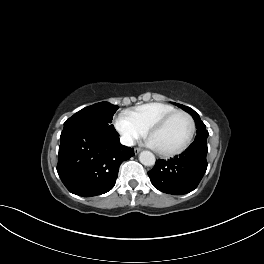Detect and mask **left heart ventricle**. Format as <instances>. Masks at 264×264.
Returning <instances> with one entry per match:
<instances>
[{"mask_svg": "<svg viewBox=\"0 0 264 264\" xmlns=\"http://www.w3.org/2000/svg\"><path fill=\"white\" fill-rule=\"evenodd\" d=\"M190 123L185 116L174 117L168 124L156 132L151 140L157 149L168 151L181 146L190 133Z\"/></svg>", "mask_w": 264, "mask_h": 264, "instance_id": "1", "label": "left heart ventricle"}]
</instances>
